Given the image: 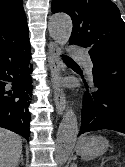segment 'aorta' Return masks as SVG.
I'll list each match as a JSON object with an SVG mask.
<instances>
[{"label": "aorta", "mask_w": 125, "mask_h": 167, "mask_svg": "<svg viewBox=\"0 0 125 167\" xmlns=\"http://www.w3.org/2000/svg\"><path fill=\"white\" fill-rule=\"evenodd\" d=\"M48 30L50 36L59 45H65L72 32V21L66 14H55L49 19ZM78 120L74 111L66 110L59 125L55 147V159L59 165L65 164L74 148L78 134Z\"/></svg>", "instance_id": "762f6f07"}]
</instances>
